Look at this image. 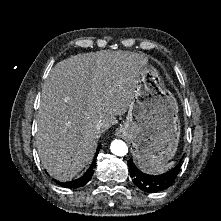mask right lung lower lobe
<instances>
[{"label":"right lung lower lobe","instance_id":"1","mask_svg":"<svg viewBox=\"0 0 221 221\" xmlns=\"http://www.w3.org/2000/svg\"><path fill=\"white\" fill-rule=\"evenodd\" d=\"M99 150L100 146H98L96 150L95 159L93 160L90 168L86 171V173L82 177L65 183L64 182H57V183L65 188H78L87 184L94 173V167L96 166V157L99 153Z\"/></svg>","mask_w":221,"mask_h":221}]
</instances>
